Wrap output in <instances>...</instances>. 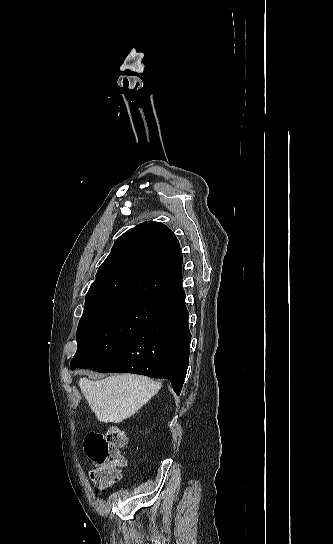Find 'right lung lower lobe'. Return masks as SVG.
<instances>
[{
    "mask_svg": "<svg viewBox=\"0 0 333 544\" xmlns=\"http://www.w3.org/2000/svg\"><path fill=\"white\" fill-rule=\"evenodd\" d=\"M184 297L169 303L131 338L76 367L101 373L125 372L165 378L170 380L176 394H180L191 342Z\"/></svg>",
    "mask_w": 333,
    "mask_h": 544,
    "instance_id": "obj_1",
    "label": "right lung lower lobe"
}]
</instances>
